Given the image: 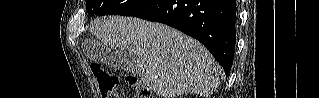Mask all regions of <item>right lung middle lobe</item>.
Masks as SVG:
<instances>
[{"instance_id":"right-lung-middle-lobe-1","label":"right lung middle lobe","mask_w":319,"mask_h":98,"mask_svg":"<svg viewBox=\"0 0 319 98\" xmlns=\"http://www.w3.org/2000/svg\"><path fill=\"white\" fill-rule=\"evenodd\" d=\"M146 0H87L89 16L123 14Z\"/></svg>"}]
</instances>
